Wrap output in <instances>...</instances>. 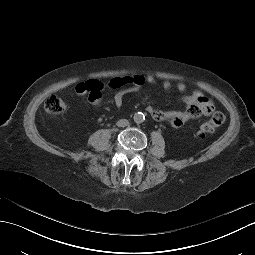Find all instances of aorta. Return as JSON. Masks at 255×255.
<instances>
[{"instance_id":"aorta-1","label":"aorta","mask_w":255,"mask_h":255,"mask_svg":"<svg viewBox=\"0 0 255 255\" xmlns=\"http://www.w3.org/2000/svg\"><path fill=\"white\" fill-rule=\"evenodd\" d=\"M133 118L137 124H140L145 120V115L142 112H137L134 114Z\"/></svg>"}]
</instances>
